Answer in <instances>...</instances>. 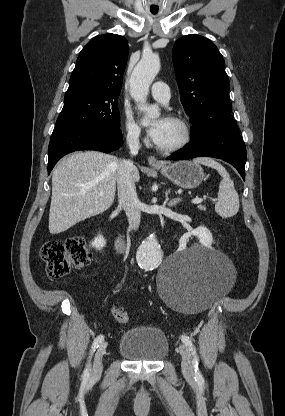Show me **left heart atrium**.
I'll return each instance as SVG.
<instances>
[{"mask_svg": "<svg viewBox=\"0 0 285 416\" xmlns=\"http://www.w3.org/2000/svg\"><path fill=\"white\" fill-rule=\"evenodd\" d=\"M167 125L168 119L164 117L155 120L149 125L148 135L156 145H160L162 142L167 131Z\"/></svg>", "mask_w": 285, "mask_h": 416, "instance_id": "1", "label": "left heart atrium"}]
</instances>
